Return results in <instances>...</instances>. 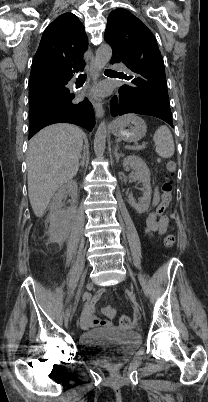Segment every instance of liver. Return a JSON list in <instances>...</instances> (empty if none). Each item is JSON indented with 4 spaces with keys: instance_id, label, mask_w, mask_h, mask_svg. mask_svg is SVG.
Masks as SVG:
<instances>
[{
    "instance_id": "1",
    "label": "liver",
    "mask_w": 208,
    "mask_h": 402,
    "mask_svg": "<svg viewBox=\"0 0 208 402\" xmlns=\"http://www.w3.org/2000/svg\"><path fill=\"white\" fill-rule=\"evenodd\" d=\"M83 132L71 124H53L38 132L27 152L28 194L42 218L55 192L78 172Z\"/></svg>"
}]
</instances>
